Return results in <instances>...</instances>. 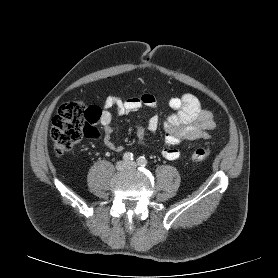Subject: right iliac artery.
Masks as SVG:
<instances>
[{
  "label": "right iliac artery",
  "instance_id": "82829eb1",
  "mask_svg": "<svg viewBox=\"0 0 278 278\" xmlns=\"http://www.w3.org/2000/svg\"><path fill=\"white\" fill-rule=\"evenodd\" d=\"M123 159L126 161V162H132L134 160V155L130 152H127L123 155Z\"/></svg>",
  "mask_w": 278,
  "mask_h": 278
}]
</instances>
